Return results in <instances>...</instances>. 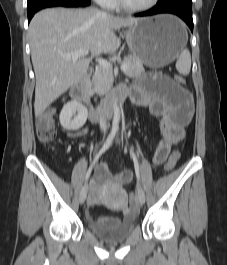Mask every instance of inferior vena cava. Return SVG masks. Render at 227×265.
<instances>
[{
  "label": "inferior vena cava",
  "mask_w": 227,
  "mask_h": 265,
  "mask_svg": "<svg viewBox=\"0 0 227 265\" xmlns=\"http://www.w3.org/2000/svg\"><path fill=\"white\" fill-rule=\"evenodd\" d=\"M105 14V13H104ZM107 123H106V121L104 120V119H100V128H101V130H104V131H106V129H107Z\"/></svg>",
  "instance_id": "602c4592"
}]
</instances>
